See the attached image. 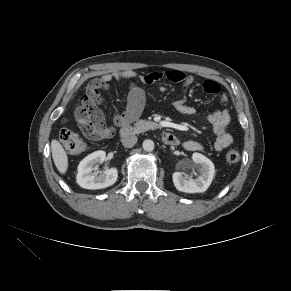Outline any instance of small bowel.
I'll use <instances>...</instances> for the list:
<instances>
[{
  "mask_svg": "<svg viewBox=\"0 0 291 291\" xmlns=\"http://www.w3.org/2000/svg\"><path fill=\"white\" fill-rule=\"evenodd\" d=\"M162 79H167L171 82L180 83L182 85L181 94L173 102V107L176 111L184 115H194L197 110L195 107L186 104L185 89L194 82V78L190 75L178 70H171L168 72H149L146 74H137L134 71H117L109 74H104L99 78L93 79L88 84V89L98 88L107 89L113 80H127L129 83L127 104L123 112L117 114L114 117V123L118 126L130 124L135 121L142 113L145 104V92L137 85V82L143 84H153ZM203 89L209 94L220 93V86L217 82L207 80L203 84ZM220 98L222 102L226 103L228 98L226 94L221 93ZM101 113V112H100ZM207 121L211 125L216 139L214 142V148L217 151H221L233 142V138L228 132L227 128L230 123V114L228 109H223L210 113L207 116ZM113 134V129L106 126L101 114L100 121L94 126L90 133H86L88 137L94 140H101L110 137ZM183 147L188 151H199L203 148L200 142L195 140H187L183 142Z\"/></svg>",
  "mask_w": 291,
  "mask_h": 291,
  "instance_id": "c3829d8e",
  "label": "small bowel"
}]
</instances>
